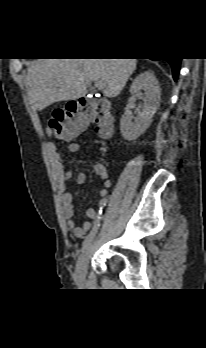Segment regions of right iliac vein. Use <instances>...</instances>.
<instances>
[{
  "mask_svg": "<svg viewBox=\"0 0 206 348\" xmlns=\"http://www.w3.org/2000/svg\"><path fill=\"white\" fill-rule=\"evenodd\" d=\"M92 247L93 240H91L89 244L84 248L82 254L80 255L77 261L75 268V276L79 282H83L85 280L87 264L91 255Z\"/></svg>",
  "mask_w": 206,
  "mask_h": 348,
  "instance_id": "1",
  "label": "right iliac vein"
}]
</instances>
